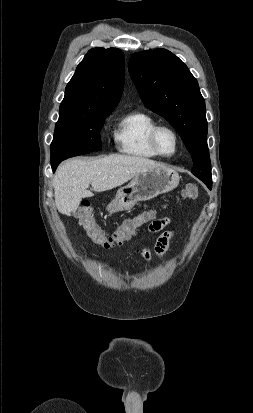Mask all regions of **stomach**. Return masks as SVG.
Returning <instances> with one entry per match:
<instances>
[{
	"mask_svg": "<svg viewBox=\"0 0 253 413\" xmlns=\"http://www.w3.org/2000/svg\"><path fill=\"white\" fill-rule=\"evenodd\" d=\"M179 174L170 168H157L137 174L128 185L120 188L107 206L110 214L131 209L138 201H147L167 193L179 184Z\"/></svg>",
	"mask_w": 253,
	"mask_h": 413,
	"instance_id": "stomach-1",
	"label": "stomach"
}]
</instances>
